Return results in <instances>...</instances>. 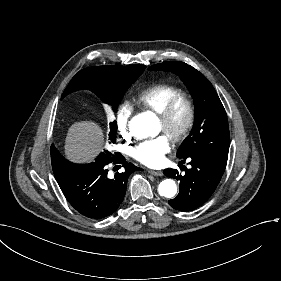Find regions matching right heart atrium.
<instances>
[{"label": "right heart atrium", "instance_id": "d8ad5b80", "mask_svg": "<svg viewBox=\"0 0 281 281\" xmlns=\"http://www.w3.org/2000/svg\"><path fill=\"white\" fill-rule=\"evenodd\" d=\"M132 107L127 102H121L115 113L114 121L119 134L127 141L140 138L142 128L131 120ZM127 149V146H125Z\"/></svg>", "mask_w": 281, "mask_h": 281}]
</instances>
